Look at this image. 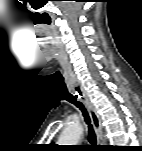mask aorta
Returning <instances> with one entry per match:
<instances>
[{
	"instance_id": "762f6f07",
	"label": "aorta",
	"mask_w": 142,
	"mask_h": 151,
	"mask_svg": "<svg viewBox=\"0 0 142 151\" xmlns=\"http://www.w3.org/2000/svg\"><path fill=\"white\" fill-rule=\"evenodd\" d=\"M83 134V127L79 123L69 125L58 139L59 145H77Z\"/></svg>"
}]
</instances>
